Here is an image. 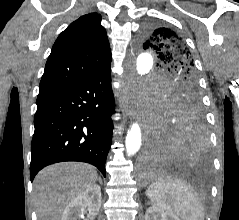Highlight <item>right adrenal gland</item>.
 Segmentation results:
<instances>
[{
    "label": "right adrenal gland",
    "mask_w": 239,
    "mask_h": 220,
    "mask_svg": "<svg viewBox=\"0 0 239 220\" xmlns=\"http://www.w3.org/2000/svg\"><path fill=\"white\" fill-rule=\"evenodd\" d=\"M99 183L102 185V180L101 178H98Z\"/></svg>",
    "instance_id": "obj_1"
}]
</instances>
